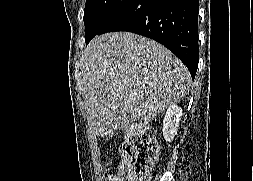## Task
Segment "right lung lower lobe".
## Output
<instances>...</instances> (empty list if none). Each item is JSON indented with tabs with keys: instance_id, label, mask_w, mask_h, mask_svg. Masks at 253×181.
<instances>
[{
	"instance_id": "98d812e1",
	"label": "right lung lower lobe",
	"mask_w": 253,
	"mask_h": 181,
	"mask_svg": "<svg viewBox=\"0 0 253 181\" xmlns=\"http://www.w3.org/2000/svg\"><path fill=\"white\" fill-rule=\"evenodd\" d=\"M198 0H129L105 26L85 35L86 44L106 32L128 31L171 50L194 79L198 67Z\"/></svg>"
}]
</instances>
